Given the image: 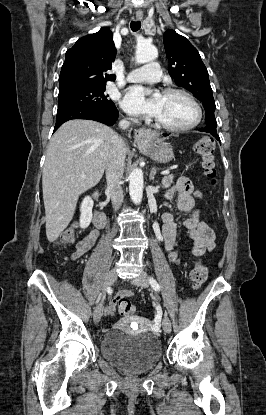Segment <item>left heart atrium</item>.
I'll return each mask as SVG.
<instances>
[{
    "label": "left heart atrium",
    "mask_w": 266,
    "mask_h": 415,
    "mask_svg": "<svg viewBox=\"0 0 266 415\" xmlns=\"http://www.w3.org/2000/svg\"><path fill=\"white\" fill-rule=\"evenodd\" d=\"M162 95L158 92L148 95L142 87H132L122 100V107L131 114L156 116L160 109Z\"/></svg>",
    "instance_id": "1"
}]
</instances>
